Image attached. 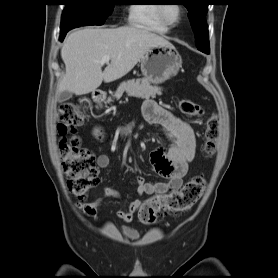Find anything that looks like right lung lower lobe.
Wrapping results in <instances>:
<instances>
[{
    "label": "right lung lower lobe",
    "mask_w": 278,
    "mask_h": 278,
    "mask_svg": "<svg viewBox=\"0 0 278 278\" xmlns=\"http://www.w3.org/2000/svg\"><path fill=\"white\" fill-rule=\"evenodd\" d=\"M66 33H67V32H65V31H61V32H60V40H63V38H64V36H65Z\"/></svg>",
    "instance_id": "1"
}]
</instances>
